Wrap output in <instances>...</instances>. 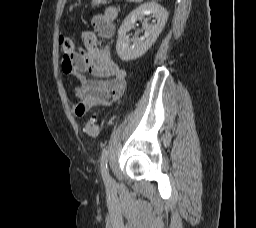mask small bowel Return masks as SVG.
I'll return each mask as SVG.
<instances>
[{
    "label": "small bowel",
    "instance_id": "small-bowel-1",
    "mask_svg": "<svg viewBox=\"0 0 256 228\" xmlns=\"http://www.w3.org/2000/svg\"><path fill=\"white\" fill-rule=\"evenodd\" d=\"M118 9L109 6L92 19L94 31L82 34L84 47L74 55L62 59L63 71L75 80L77 103L72 112L76 117L85 115L91 108L109 105L119 98L126 85V71L112 58L110 52L98 47L97 36L110 39L115 32L114 21Z\"/></svg>",
    "mask_w": 256,
    "mask_h": 228
}]
</instances>
